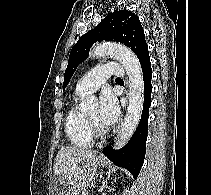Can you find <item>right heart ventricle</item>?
I'll return each mask as SVG.
<instances>
[{"mask_svg":"<svg viewBox=\"0 0 211 195\" xmlns=\"http://www.w3.org/2000/svg\"><path fill=\"white\" fill-rule=\"evenodd\" d=\"M78 95H81L77 93ZM65 129L72 144L81 148H88L93 144L88 116L73 104L66 116Z\"/></svg>","mask_w":211,"mask_h":195,"instance_id":"1","label":"right heart ventricle"}]
</instances>
